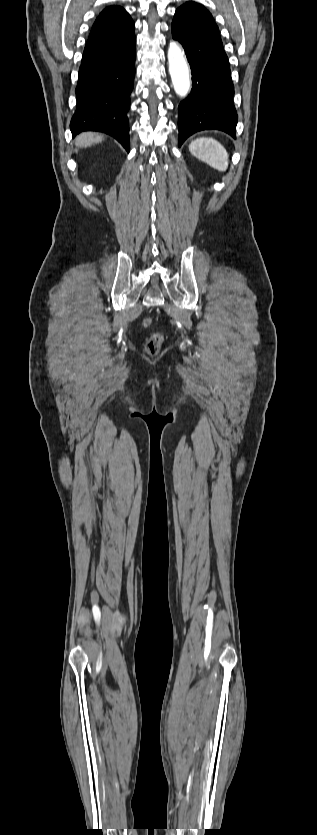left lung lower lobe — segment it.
Returning <instances> with one entry per match:
<instances>
[{"mask_svg": "<svg viewBox=\"0 0 317 835\" xmlns=\"http://www.w3.org/2000/svg\"><path fill=\"white\" fill-rule=\"evenodd\" d=\"M171 30L185 49L192 74L191 94L178 107L179 146L203 130H221L235 138L238 116L230 64L212 15L189 1L176 10Z\"/></svg>", "mask_w": 317, "mask_h": 835, "instance_id": "1", "label": "left lung lower lobe"}]
</instances>
